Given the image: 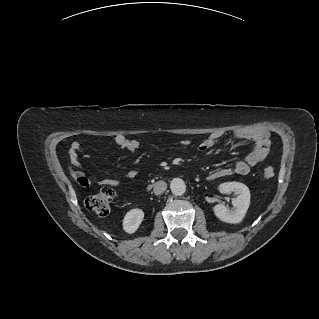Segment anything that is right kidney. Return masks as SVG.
Returning <instances> with one entry per match:
<instances>
[{
	"label": "right kidney",
	"instance_id": "obj_1",
	"mask_svg": "<svg viewBox=\"0 0 319 319\" xmlns=\"http://www.w3.org/2000/svg\"><path fill=\"white\" fill-rule=\"evenodd\" d=\"M144 218V212L141 209H131L126 213L123 219V229L125 232L132 234L140 226Z\"/></svg>",
	"mask_w": 319,
	"mask_h": 319
}]
</instances>
